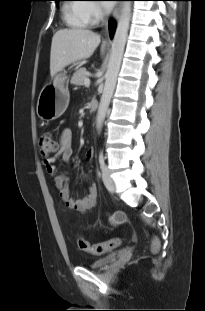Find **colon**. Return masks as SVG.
<instances>
[{
	"label": "colon",
	"instance_id": "colon-1",
	"mask_svg": "<svg viewBox=\"0 0 205 311\" xmlns=\"http://www.w3.org/2000/svg\"><path fill=\"white\" fill-rule=\"evenodd\" d=\"M40 153L44 159L50 157L51 154L55 153L59 148V143L52 132H44L39 141ZM121 243L119 238H113L106 242L91 244L83 237L77 238V246L81 251L93 254L102 255L109 251L116 249ZM160 248V240L156 237L152 239L151 249L153 252H157Z\"/></svg>",
	"mask_w": 205,
	"mask_h": 311
}]
</instances>
